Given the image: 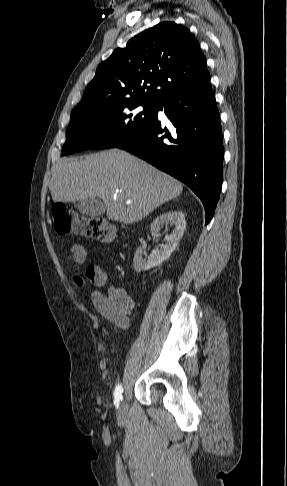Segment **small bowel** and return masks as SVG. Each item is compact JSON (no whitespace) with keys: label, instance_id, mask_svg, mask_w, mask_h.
<instances>
[{"label":"small bowel","instance_id":"obj_1","mask_svg":"<svg viewBox=\"0 0 287 486\" xmlns=\"http://www.w3.org/2000/svg\"><path fill=\"white\" fill-rule=\"evenodd\" d=\"M71 254L73 262L77 265L83 264L87 258V250L81 244L73 245ZM90 297L94 307L103 317L119 328H128L129 316L135 308V301L122 286L108 282L106 293L95 290L91 292Z\"/></svg>","mask_w":287,"mask_h":486}]
</instances>
